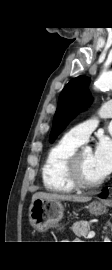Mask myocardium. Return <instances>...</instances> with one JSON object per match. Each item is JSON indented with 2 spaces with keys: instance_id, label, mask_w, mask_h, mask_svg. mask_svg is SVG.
Here are the masks:
<instances>
[{
  "instance_id": "myocardium-1",
  "label": "myocardium",
  "mask_w": 112,
  "mask_h": 270,
  "mask_svg": "<svg viewBox=\"0 0 112 270\" xmlns=\"http://www.w3.org/2000/svg\"><path fill=\"white\" fill-rule=\"evenodd\" d=\"M82 151L76 150L73 152L66 160L64 164V172L68 182L75 188L79 190H91L98 188L103 182L104 178L96 182H86L82 179L80 173V156Z\"/></svg>"
}]
</instances>
